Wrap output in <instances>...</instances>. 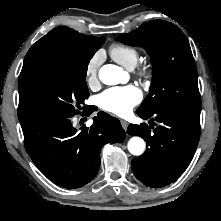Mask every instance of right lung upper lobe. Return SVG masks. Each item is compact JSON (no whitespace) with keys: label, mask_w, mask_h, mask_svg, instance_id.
I'll return each instance as SVG.
<instances>
[{"label":"right lung upper lobe","mask_w":221,"mask_h":221,"mask_svg":"<svg viewBox=\"0 0 221 221\" xmlns=\"http://www.w3.org/2000/svg\"><path fill=\"white\" fill-rule=\"evenodd\" d=\"M104 37L87 36L68 27H57L39 39L25 56L18 87L57 60L78 50L94 53L104 43Z\"/></svg>","instance_id":"right-lung-upper-lobe-1"}]
</instances>
